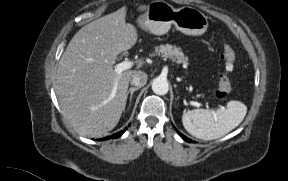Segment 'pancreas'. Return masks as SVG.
I'll return each mask as SVG.
<instances>
[{"instance_id": "1", "label": "pancreas", "mask_w": 288, "mask_h": 181, "mask_svg": "<svg viewBox=\"0 0 288 181\" xmlns=\"http://www.w3.org/2000/svg\"><path fill=\"white\" fill-rule=\"evenodd\" d=\"M162 55L164 57H169L178 64H187L188 58L184 56V53L179 47L172 46L171 44L160 45L155 48V53L153 55Z\"/></svg>"}]
</instances>
